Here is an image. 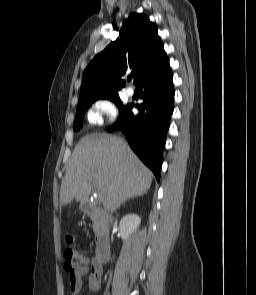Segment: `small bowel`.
Wrapping results in <instances>:
<instances>
[{
	"label": "small bowel",
	"instance_id": "c3829d8e",
	"mask_svg": "<svg viewBox=\"0 0 256 295\" xmlns=\"http://www.w3.org/2000/svg\"><path fill=\"white\" fill-rule=\"evenodd\" d=\"M102 274V263H99L95 258L90 261L85 260L82 266L69 272L68 282L72 295H80L84 275H88L87 289L91 292L98 291L101 287Z\"/></svg>",
	"mask_w": 256,
	"mask_h": 295
}]
</instances>
